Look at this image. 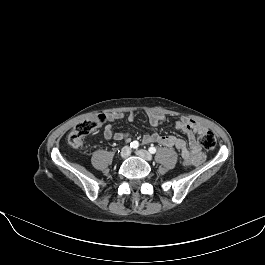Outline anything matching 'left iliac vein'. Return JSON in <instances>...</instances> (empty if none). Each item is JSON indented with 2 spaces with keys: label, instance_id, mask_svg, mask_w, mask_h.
Returning a JSON list of instances; mask_svg holds the SVG:
<instances>
[{
  "label": "left iliac vein",
  "instance_id": "left-iliac-vein-1",
  "mask_svg": "<svg viewBox=\"0 0 265 265\" xmlns=\"http://www.w3.org/2000/svg\"><path fill=\"white\" fill-rule=\"evenodd\" d=\"M136 154L147 161H151L153 158L152 155L146 150H137Z\"/></svg>",
  "mask_w": 265,
  "mask_h": 265
}]
</instances>
